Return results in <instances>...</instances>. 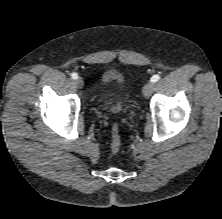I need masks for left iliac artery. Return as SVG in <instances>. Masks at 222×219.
Wrapping results in <instances>:
<instances>
[{
	"label": "left iliac artery",
	"instance_id": "44dca946",
	"mask_svg": "<svg viewBox=\"0 0 222 219\" xmlns=\"http://www.w3.org/2000/svg\"><path fill=\"white\" fill-rule=\"evenodd\" d=\"M160 79V76L159 75H153L152 77H151V82H157L158 80Z\"/></svg>",
	"mask_w": 222,
	"mask_h": 219
}]
</instances>
